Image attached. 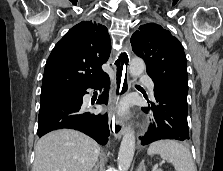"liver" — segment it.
<instances>
[{
	"instance_id": "obj_1",
	"label": "liver",
	"mask_w": 223,
	"mask_h": 171,
	"mask_svg": "<svg viewBox=\"0 0 223 171\" xmlns=\"http://www.w3.org/2000/svg\"><path fill=\"white\" fill-rule=\"evenodd\" d=\"M100 152L98 143L71 129L43 136L35 146L32 171H92Z\"/></svg>"
}]
</instances>
